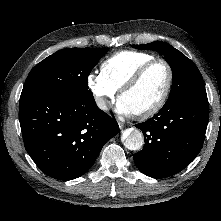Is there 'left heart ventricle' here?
I'll list each match as a JSON object with an SVG mask.
<instances>
[{"mask_svg": "<svg viewBox=\"0 0 221 221\" xmlns=\"http://www.w3.org/2000/svg\"><path fill=\"white\" fill-rule=\"evenodd\" d=\"M167 79L166 67L161 63H156L120 100L130 108L132 113L146 110L160 99L165 90Z\"/></svg>", "mask_w": 221, "mask_h": 221, "instance_id": "b2bd125f", "label": "left heart ventricle"}]
</instances>
